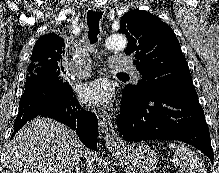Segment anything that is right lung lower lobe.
<instances>
[{
    "label": "right lung lower lobe",
    "mask_w": 219,
    "mask_h": 173,
    "mask_svg": "<svg viewBox=\"0 0 219 173\" xmlns=\"http://www.w3.org/2000/svg\"><path fill=\"white\" fill-rule=\"evenodd\" d=\"M38 115L48 116L76 130L86 147L97 149L98 121L92 112L84 110L73 91H64L52 78L39 77L25 88L19 102L14 134ZM12 135V137L14 136Z\"/></svg>",
    "instance_id": "right-lung-lower-lobe-1"
}]
</instances>
